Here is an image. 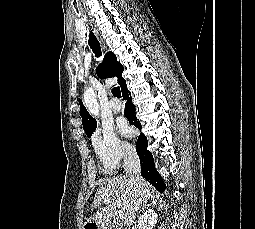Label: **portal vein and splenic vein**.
Masks as SVG:
<instances>
[{"mask_svg": "<svg viewBox=\"0 0 255 229\" xmlns=\"http://www.w3.org/2000/svg\"><path fill=\"white\" fill-rule=\"evenodd\" d=\"M110 202V200H106L105 203H108ZM117 208H118V211H117V218L118 219H123L124 218V213L123 211L120 210V203H117Z\"/></svg>", "mask_w": 255, "mask_h": 229, "instance_id": "portal-vein-and-splenic-vein-1", "label": "portal vein and splenic vein"}]
</instances>
